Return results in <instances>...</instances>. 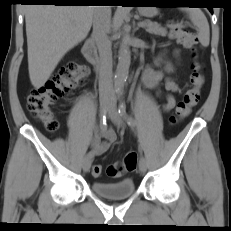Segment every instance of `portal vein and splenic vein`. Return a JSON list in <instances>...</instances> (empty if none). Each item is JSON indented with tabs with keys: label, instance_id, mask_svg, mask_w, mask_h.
I'll use <instances>...</instances> for the list:
<instances>
[{
	"label": "portal vein and splenic vein",
	"instance_id": "portal-vein-and-splenic-vein-1",
	"mask_svg": "<svg viewBox=\"0 0 231 231\" xmlns=\"http://www.w3.org/2000/svg\"><path fill=\"white\" fill-rule=\"evenodd\" d=\"M139 25H140V26H144V23H143V22H141V23H139Z\"/></svg>",
	"mask_w": 231,
	"mask_h": 231
}]
</instances>
